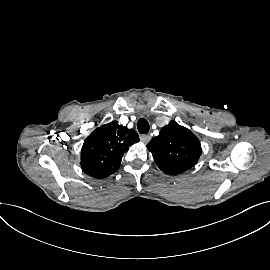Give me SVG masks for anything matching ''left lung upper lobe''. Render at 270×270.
I'll list each match as a JSON object with an SVG mask.
<instances>
[{
	"label": "left lung upper lobe",
	"mask_w": 270,
	"mask_h": 270,
	"mask_svg": "<svg viewBox=\"0 0 270 270\" xmlns=\"http://www.w3.org/2000/svg\"><path fill=\"white\" fill-rule=\"evenodd\" d=\"M157 166L166 174H180L192 168L201 155L198 138L187 128L171 121L147 145Z\"/></svg>",
	"instance_id": "obj_1"
}]
</instances>
